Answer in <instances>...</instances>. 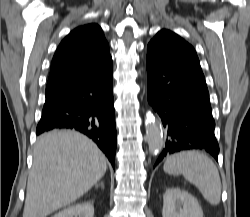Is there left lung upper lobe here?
I'll return each mask as SVG.
<instances>
[{
    "mask_svg": "<svg viewBox=\"0 0 250 217\" xmlns=\"http://www.w3.org/2000/svg\"><path fill=\"white\" fill-rule=\"evenodd\" d=\"M148 45L159 48L172 56L192 58L199 61L194 48L169 30L159 31Z\"/></svg>",
    "mask_w": 250,
    "mask_h": 217,
    "instance_id": "obj_1",
    "label": "left lung upper lobe"
}]
</instances>
